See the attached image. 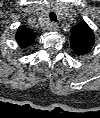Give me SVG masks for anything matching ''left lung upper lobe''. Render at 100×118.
I'll return each instance as SVG.
<instances>
[{"label": "left lung upper lobe", "mask_w": 100, "mask_h": 118, "mask_svg": "<svg viewBox=\"0 0 100 118\" xmlns=\"http://www.w3.org/2000/svg\"><path fill=\"white\" fill-rule=\"evenodd\" d=\"M71 47L77 55L88 53L94 44V34L85 21L71 29Z\"/></svg>", "instance_id": "left-lung-upper-lobe-1"}]
</instances>
